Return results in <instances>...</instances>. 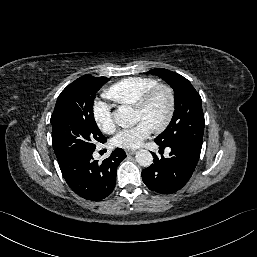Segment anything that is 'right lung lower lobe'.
<instances>
[{"label": "right lung lower lobe", "instance_id": "1", "mask_svg": "<svg viewBox=\"0 0 257 257\" xmlns=\"http://www.w3.org/2000/svg\"><path fill=\"white\" fill-rule=\"evenodd\" d=\"M93 152L73 154L60 162L59 167L67 184L76 194L97 201L113 191L117 167L126 154L123 149L116 148L109 158L99 164L93 160Z\"/></svg>", "mask_w": 257, "mask_h": 257}]
</instances>
